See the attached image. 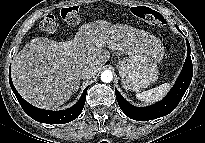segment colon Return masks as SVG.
Here are the masks:
<instances>
[{"mask_svg":"<svg viewBox=\"0 0 205 143\" xmlns=\"http://www.w3.org/2000/svg\"><path fill=\"white\" fill-rule=\"evenodd\" d=\"M133 16L142 19L156 26L166 25L165 18L157 11L146 6H133L130 8ZM62 19L69 25H77L80 22V9L78 6L64 7L60 11ZM40 28L47 33H53L57 30V20L53 14L45 15L41 22Z\"/></svg>","mask_w":205,"mask_h":143,"instance_id":"5ec220e1","label":"colon"}]
</instances>
